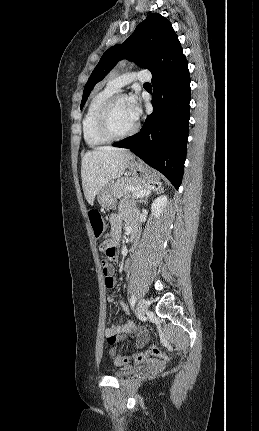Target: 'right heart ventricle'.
I'll use <instances>...</instances> for the list:
<instances>
[{"instance_id":"obj_1","label":"right heart ventricle","mask_w":259,"mask_h":431,"mask_svg":"<svg viewBox=\"0 0 259 431\" xmlns=\"http://www.w3.org/2000/svg\"><path fill=\"white\" fill-rule=\"evenodd\" d=\"M114 93V90L106 87L94 94L88 103L82 119V131L86 144L92 148L103 146L111 141L99 133L96 117L101 105Z\"/></svg>"}]
</instances>
